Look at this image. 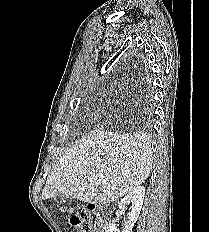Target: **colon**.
I'll return each mask as SVG.
<instances>
[{"label":"colon","mask_w":209,"mask_h":232,"mask_svg":"<svg viewBox=\"0 0 209 232\" xmlns=\"http://www.w3.org/2000/svg\"><path fill=\"white\" fill-rule=\"evenodd\" d=\"M93 208H76L71 212L70 224L79 232H92Z\"/></svg>","instance_id":"colon-1"}]
</instances>
